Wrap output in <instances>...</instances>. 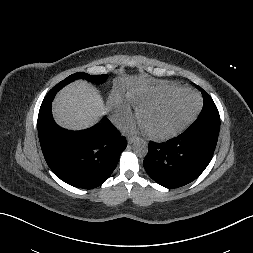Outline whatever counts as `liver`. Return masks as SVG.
I'll list each match as a JSON object with an SVG mask.
<instances>
[{
  "mask_svg": "<svg viewBox=\"0 0 253 253\" xmlns=\"http://www.w3.org/2000/svg\"><path fill=\"white\" fill-rule=\"evenodd\" d=\"M137 76H124L122 83L137 81ZM106 112L98 91L85 81H75L63 88L54 100L56 122L67 129L79 130L94 125Z\"/></svg>",
  "mask_w": 253,
  "mask_h": 253,
  "instance_id": "6515ba94",
  "label": "liver"
}]
</instances>
